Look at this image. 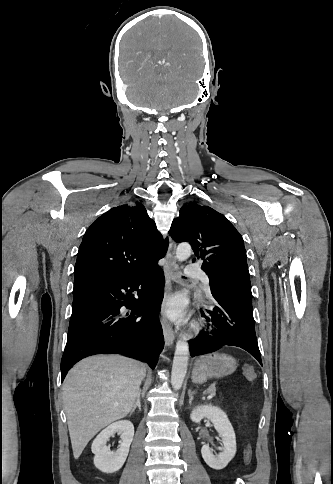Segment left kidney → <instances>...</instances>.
Segmentation results:
<instances>
[{
  "label": "left kidney",
  "mask_w": 333,
  "mask_h": 484,
  "mask_svg": "<svg viewBox=\"0 0 333 484\" xmlns=\"http://www.w3.org/2000/svg\"><path fill=\"white\" fill-rule=\"evenodd\" d=\"M206 417L214 425V428L222 438L223 446L218 455H214L209 445H203L201 454L206 464L216 470L225 468L236 454V437L234 429L226 415L219 407L212 405H199L195 407L190 418L195 423H200Z\"/></svg>",
  "instance_id": "left-kidney-1"
}]
</instances>
